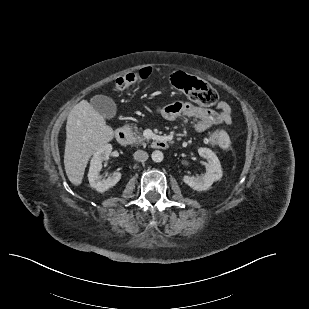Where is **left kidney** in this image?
Segmentation results:
<instances>
[{
  "label": "left kidney",
  "mask_w": 309,
  "mask_h": 309,
  "mask_svg": "<svg viewBox=\"0 0 309 309\" xmlns=\"http://www.w3.org/2000/svg\"><path fill=\"white\" fill-rule=\"evenodd\" d=\"M198 153L207 160L206 172L203 176L185 175L183 181L196 191H206L222 177V168L216 154L209 148H199Z\"/></svg>",
  "instance_id": "1"
}]
</instances>
